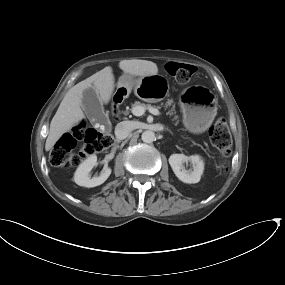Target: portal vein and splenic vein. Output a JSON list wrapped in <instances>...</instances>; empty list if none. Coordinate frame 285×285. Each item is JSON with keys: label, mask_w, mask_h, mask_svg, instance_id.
<instances>
[{"label": "portal vein and splenic vein", "mask_w": 285, "mask_h": 285, "mask_svg": "<svg viewBox=\"0 0 285 285\" xmlns=\"http://www.w3.org/2000/svg\"><path fill=\"white\" fill-rule=\"evenodd\" d=\"M145 108L143 106H136L132 108V113L135 116H142L145 113ZM149 112L153 115H160L159 110H157L156 108H149Z\"/></svg>", "instance_id": "1"}]
</instances>
